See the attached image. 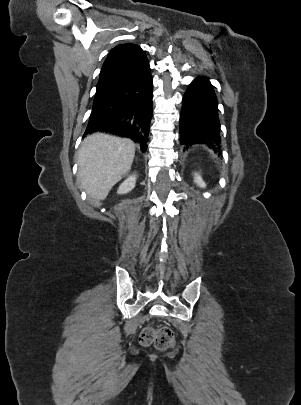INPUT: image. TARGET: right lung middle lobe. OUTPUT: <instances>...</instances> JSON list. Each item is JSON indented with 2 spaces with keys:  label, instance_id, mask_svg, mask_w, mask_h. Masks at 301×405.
I'll return each instance as SVG.
<instances>
[{
  "label": "right lung middle lobe",
  "instance_id": "1",
  "mask_svg": "<svg viewBox=\"0 0 301 405\" xmlns=\"http://www.w3.org/2000/svg\"><path fill=\"white\" fill-rule=\"evenodd\" d=\"M102 96H100V95H96L95 96V99H94V103L98 100V99H100Z\"/></svg>",
  "mask_w": 301,
  "mask_h": 405
}]
</instances>
